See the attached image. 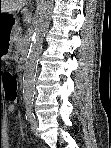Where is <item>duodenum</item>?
I'll use <instances>...</instances> for the list:
<instances>
[{
    "label": "duodenum",
    "mask_w": 111,
    "mask_h": 148,
    "mask_svg": "<svg viewBox=\"0 0 111 148\" xmlns=\"http://www.w3.org/2000/svg\"><path fill=\"white\" fill-rule=\"evenodd\" d=\"M19 60H20L21 66H22L23 68H25V66H26V57L23 56V55H20Z\"/></svg>",
    "instance_id": "410a0bca"
}]
</instances>
